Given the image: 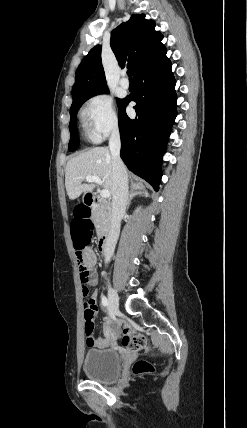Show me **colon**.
Listing matches in <instances>:
<instances>
[{
  "instance_id": "1",
  "label": "colon",
  "mask_w": 247,
  "mask_h": 428,
  "mask_svg": "<svg viewBox=\"0 0 247 428\" xmlns=\"http://www.w3.org/2000/svg\"><path fill=\"white\" fill-rule=\"evenodd\" d=\"M70 220L72 246L75 247V254L80 271V280L83 285V294L86 296L89 292V283L92 278V271L85 261L82 248L86 246V239H93L94 225L92 218L89 217L88 204H71ZM94 309L87 302L84 304V329L86 340L93 338L94 332ZM123 346L130 350H140L146 347L147 339L143 334H135L132 327L123 322ZM152 367L145 361H138L133 366V372L140 374L151 371Z\"/></svg>"
}]
</instances>
